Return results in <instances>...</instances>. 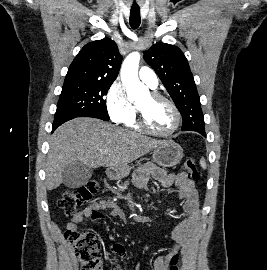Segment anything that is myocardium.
Instances as JSON below:
<instances>
[{"label": "myocardium", "mask_w": 267, "mask_h": 270, "mask_svg": "<svg viewBox=\"0 0 267 270\" xmlns=\"http://www.w3.org/2000/svg\"><path fill=\"white\" fill-rule=\"evenodd\" d=\"M150 96H151V98H153L155 100H161V101L166 102L171 107V109L173 111V114H174V118H175L174 125L170 130H168L166 132H161V131L154 130L153 128H151L147 124V122L145 120V117H144V114L141 111V109L136 107L138 125L140 126V128L142 130H144L145 132H147V133H149L151 135H154V136H158V137H170V136H172L173 134H175L177 132V130L179 129L180 124H181V114H180V111H179L177 105L174 103L173 100H171L170 98H168L167 96H165V95H163L161 93L151 92Z\"/></svg>", "instance_id": "obj_1"}]
</instances>
